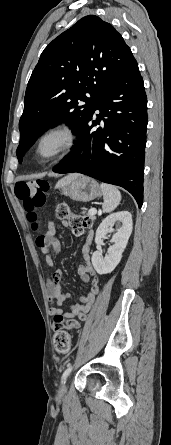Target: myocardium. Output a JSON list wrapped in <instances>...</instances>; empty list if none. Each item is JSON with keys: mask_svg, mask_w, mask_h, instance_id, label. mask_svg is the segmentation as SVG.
Masks as SVG:
<instances>
[{"mask_svg": "<svg viewBox=\"0 0 171 445\" xmlns=\"http://www.w3.org/2000/svg\"><path fill=\"white\" fill-rule=\"evenodd\" d=\"M50 138L59 140L58 146L50 154L41 152L42 145ZM77 135L74 128L67 123H57L48 127L37 139L35 156L44 162H51L68 154L76 145Z\"/></svg>", "mask_w": 171, "mask_h": 445, "instance_id": "myocardium-1", "label": "myocardium"}]
</instances>
